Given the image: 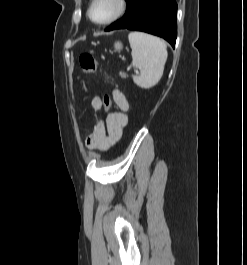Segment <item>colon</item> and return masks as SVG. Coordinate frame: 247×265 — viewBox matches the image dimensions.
<instances>
[{
    "mask_svg": "<svg viewBox=\"0 0 247 265\" xmlns=\"http://www.w3.org/2000/svg\"><path fill=\"white\" fill-rule=\"evenodd\" d=\"M79 62L82 71L86 74H93L100 70L99 64L90 54H82L79 58ZM111 104V98L109 96H104L103 105L106 112L110 110Z\"/></svg>",
    "mask_w": 247,
    "mask_h": 265,
    "instance_id": "1",
    "label": "colon"
}]
</instances>
